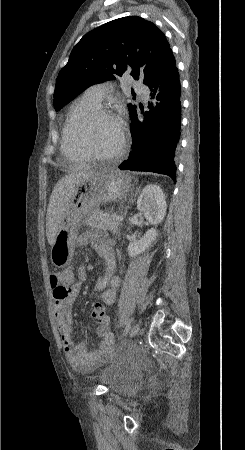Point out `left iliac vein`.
<instances>
[{"instance_id": "left-iliac-vein-1", "label": "left iliac vein", "mask_w": 245, "mask_h": 450, "mask_svg": "<svg viewBox=\"0 0 245 450\" xmlns=\"http://www.w3.org/2000/svg\"><path fill=\"white\" fill-rule=\"evenodd\" d=\"M140 331V324L137 323L134 325V327L131 329L130 332V338H133L134 336H136Z\"/></svg>"}]
</instances>
